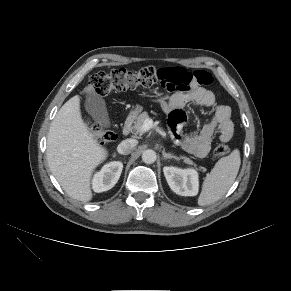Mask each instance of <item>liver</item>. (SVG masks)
<instances>
[{
	"mask_svg": "<svg viewBox=\"0 0 291 291\" xmlns=\"http://www.w3.org/2000/svg\"><path fill=\"white\" fill-rule=\"evenodd\" d=\"M108 156L83 121L80 97L69 99L53 119L47 137V161L52 174L72 198L88 202L94 169Z\"/></svg>",
	"mask_w": 291,
	"mask_h": 291,
	"instance_id": "liver-1",
	"label": "liver"
}]
</instances>
